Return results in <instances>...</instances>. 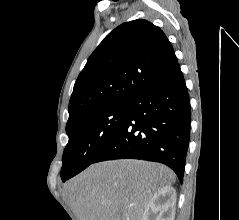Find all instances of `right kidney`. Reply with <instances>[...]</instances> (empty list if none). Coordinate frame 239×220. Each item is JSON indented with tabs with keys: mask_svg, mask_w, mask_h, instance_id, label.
<instances>
[{
	"mask_svg": "<svg viewBox=\"0 0 239 220\" xmlns=\"http://www.w3.org/2000/svg\"><path fill=\"white\" fill-rule=\"evenodd\" d=\"M176 191L164 186L156 191L143 213L142 220H174Z\"/></svg>",
	"mask_w": 239,
	"mask_h": 220,
	"instance_id": "right-kidney-1",
	"label": "right kidney"
}]
</instances>
